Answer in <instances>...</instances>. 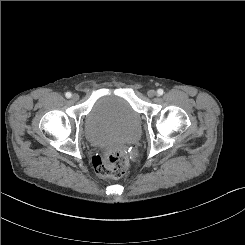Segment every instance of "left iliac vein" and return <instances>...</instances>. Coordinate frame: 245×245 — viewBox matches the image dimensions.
<instances>
[{
  "label": "left iliac vein",
  "mask_w": 245,
  "mask_h": 245,
  "mask_svg": "<svg viewBox=\"0 0 245 245\" xmlns=\"http://www.w3.org/2000/svg\"><path fill=\"white\" fill-rule=\"evenodd\" d=\"M156 91L155 90H149L148 92H147V95H148V97H150V98H153V97H155L156 96Z\"/></svg>",
  "instance_id": "4c4485c4"
}]
</instances>
